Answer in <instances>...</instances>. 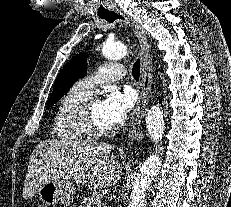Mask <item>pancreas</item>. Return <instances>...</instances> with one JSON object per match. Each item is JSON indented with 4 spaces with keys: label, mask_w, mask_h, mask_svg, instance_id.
Listing matches in <instances>:
<instances>
[{
    "label": "pancreas",
    "mask_w": 231,
    "mask_h": 207,
    "mask_svg": "<svg viewBox=\"0 0 231 207\" xmlns=\"http://www.w3.org/2000/svg\"><path fill=\"white\" fill-rule=\"evenodd\" d=\"M98 205V206H97ZM102 196L100 193L95 192L92 195L81 200L79 207H101Z\"/></svg>",
    "instance_id": "cf45deb5"
}]
</instances>
